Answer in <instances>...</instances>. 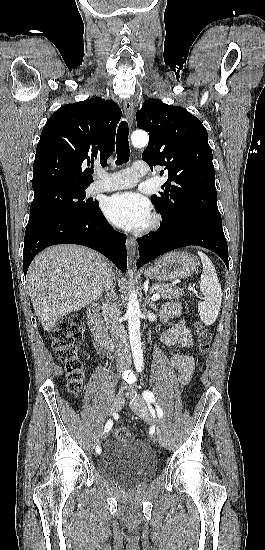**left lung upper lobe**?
<instances>
[{"mask_svg":"<svg viewBox=\"0 0 265 550\" xmlns=\"http://www.w3.org/2000/svg\"><path fill=\"white\" fill-rule=\"evenodd\" d=\"M136 120L138 128L150 136L142 159L151 168L164 166L168 173V180L162 186L164 193L151 196L162 221L194 215L222 223L212 150L201 121L180 106L153 98L146 100L137 111Z\"/></svg>","mask_w":265,"mask_h":550,"instance_id":"5c2ea615","label":"left lung upper lobe"}]
</instances>
